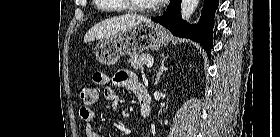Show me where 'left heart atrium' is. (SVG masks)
Masks as SVG:
<instances>
[{
    "label": "left heart atrium",
    "mask_w": 280,
    "mask_h": 137,
    "mask_svg": "<svg viewBox=\"0 0 280 137\" xmlns=\"http://www.w3.org/2000/svg\"><path fill=\"white\" fill-rule=\"evenodd\" d=\"M153 1V3H155V4H164V3H166L168 0H152Z\"/></svg>",
    "instance_id": "obj_1"
}]
</instances>
